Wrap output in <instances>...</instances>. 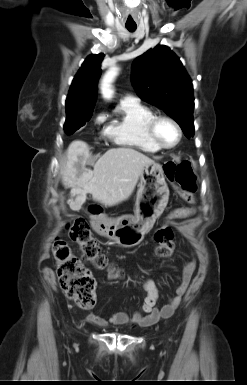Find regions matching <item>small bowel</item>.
<instances>
[{
  "mask_svg": "<svg viewBox=\"0 0 247 385\" xmlns=\"http://www.w3.org/2000/svg\"><path fill=\"white\" fill-rule=\"evenodd\" d=\"M181 209L183 212L182 217H189L195 214L194 207H185ZM195 269L196 261L194 259L187 260L183 263L181 280L175 294L170 298L169 302L161 308L156 307L158 301V288L152 279L147 278L143 283V287L147 292V295L140 311H135L132 314L125 311H118L107 318L90 313L87 315L86 319L88 322L99 326H106L109 323L114 325L134 324L138 326H146L153 324L161 318H169L180 305ZM118 275L119 274L116 269L110 270L108 278L110 280H114L118 277Z\"/></svg>",
  "mask_w": 247,
  "mask_h": 385,
  "instance_id": "1",
  "label": "small bowel"
}]
</instances>
